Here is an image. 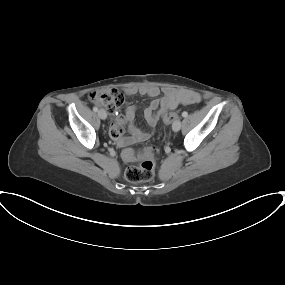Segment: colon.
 Here are the masks:
<instances>
[{
  "instance_id": "colon-1",
  "label": "colon",
  "mask_w": 285,
  "mask_h": 285,
  "mask_svg": "<svg viewBox=\"0 0 285 285\" xmlns=\"http://www.w3.org/2000/svg\"><path fill=\"white\" fill-rule=\"evenodd\" d=\"M91 100L103 106L108 112L117 111L122 103L121 95L114 90L95 91L90 96ZM177 115L174 113H166L164 116L165 124H171ZM122 130H113L110 132L113 138L122 136ZM122 156L127 161H139L138 165H131L125 170V178L132 183L146 182L154 177L156 151L153 147L144 148H126L122 152Z\"/></svg>"
}]
</instances>
